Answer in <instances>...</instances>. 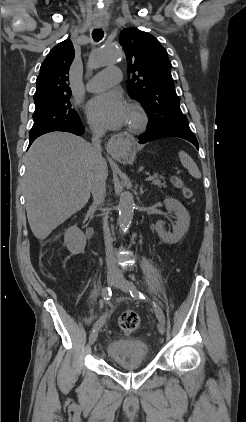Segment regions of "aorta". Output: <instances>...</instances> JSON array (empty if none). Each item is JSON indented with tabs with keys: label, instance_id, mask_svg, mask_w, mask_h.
I'll list each match as a JSON object with an SVG mask.
<instances>
[{
	"label": "aorta",
	"instance_id": "762f6f07",
	"mask_svg": "<svg viewBox=\"0 0 246 422\" xmlns=\"http://www.w3.org/2000/svg\"><path fill=\"white\" fill-rule=\"evenodd\" d=\"M123 52L119 47L104 46L94 50L89 59V68L94 69L105 64L117 63L122 59ZM135 202L129 191H121L118 205L119 225L123 231L129 227L134 215Z\"/></svg>",
	"mask_w": 246,
	"mask_h": 422
}]
</instances>
